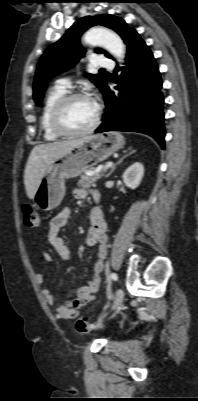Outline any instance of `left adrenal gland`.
I'll list each match as a JSON object with an SVG mask.
<instances>
[{"label": "left adrenal gland", "instance_id": "left-adrenal-gland-1", "mask_svg": "<svg viewBox=\"0 0 198 401\" xmlns=\"http://www.w3.org/2000/svg\"><path fill=\"white\" fill-rule=\"evenodd\" d=\"M136 152V150H130L129 153H127L126 155H124L111 169V171L106 175V178H108L116 169V166L119 165L126 157L134 154Z\"/></svg>", "mask_w": 198, "mask_h": 401}]
</instances>
